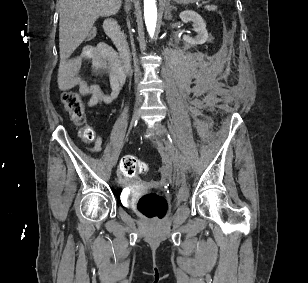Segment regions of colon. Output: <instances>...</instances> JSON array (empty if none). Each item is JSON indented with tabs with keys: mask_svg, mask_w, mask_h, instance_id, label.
<instances>
[{
	"mask_svg": "<svg viewBox=\"0 0 308 283\" xmlns=\"http://www.w3.org/2000/svg\"><path fill=\"white\" fill-rule=\"evenodd\" d=\"M96 36V29H91L88 39ZM62 103L69 112L72 120L82 126L80 137L83 140H92L95 136L94 131L85 126V113L80 96L74 91H64L61 95ZM120 169L124 176L132 178L147 172V165L136 156H125L120 163ZM140 211L147 217L162 218L167 210L166 200L156 193H148L141 197L138 203Z\"/></svg>",
	"mask_w": 308,
	"mask_h": 283,
	"instance_id": "colon-1",
	"label": "colon"
}]
</instances>
